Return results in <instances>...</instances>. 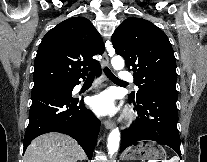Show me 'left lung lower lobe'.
<instances>
[{"label":"left lung lower lobe","instance_id":"obj_1","mask_svg":"<svg viewBox=\"0 0 207 162\" xmlns=\"http://www.w3.org/2000/svg\"><path fill=\"white\" fill-rule=\"evenodd\" d=\"M138 117L130 128L122 131L121 151L141 140H152L168 145L181 157L177 130V94L149 92L141 99H131Z\"/></svg>","mask_w":207,"mask_h":162}]
</instances>
